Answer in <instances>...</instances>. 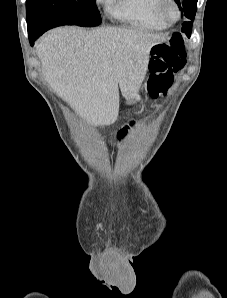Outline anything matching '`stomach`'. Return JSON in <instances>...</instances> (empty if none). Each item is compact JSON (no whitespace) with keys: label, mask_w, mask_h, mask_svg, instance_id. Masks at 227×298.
<instances>
[{"label":"stomach","mask_w":227,"mask_h":298,"mask_svg":"<svg viewBox=\"0 0 227 298\" xmlns=\"http://www.w3.org/2000/svg\"><path fill=\"white\" fill-rule=\"evenodd\" d=\"M155 74V70L152 68V67H150V76L152 75H154ZM141 99V97H140V94L138 93L137 94V96L135 97V98H133V99H131V100H128V103H136L137 101H139Z\"/></svg>","instance_id":"1"}]
</instances>
